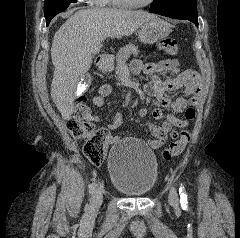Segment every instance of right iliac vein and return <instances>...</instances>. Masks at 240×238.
<instances>
[{
	"label": "right iliac vein",
	"instance_id": "right-iliac-vein-1",
	"mask_svg": "<svg viewBox=\"0 0 240 238\" xmlns=\"http://www.w3.org/2000/svg\"><path fill=\"white\" fill-rule=\"evenodd\" d=\"M103 201V194H102V189L101 188H97L91 198L90 201V206H89V214L90 215H94L97 213V211L99 210L101 204Z\"/></svg>",
	"mask_w": 240,
	"mask_h": 238
}]
</instances>
